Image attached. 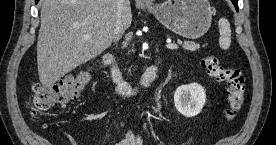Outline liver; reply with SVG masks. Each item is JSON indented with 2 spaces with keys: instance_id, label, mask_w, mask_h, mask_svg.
Listing matches in <instances>:
<instances>
[{
  "instance_id": "liver-1",
  "label": "liver",
  "mask_w": 276,
  "mask_h": 145,
  "mask_svg": "<svg viewBox=\"0 0 276 145\" xmlns=\"http://www.w3.org/2000/svg\"><path fill=\"white\" fill-rule=\"evenodd\" d=\"M40 4L38 75L41 84L50 87L111 45L118 6L117 0H42ZM121 21L123 34L132 22L130 3L123 7ZM86 34L89 39H84Z\"/></svg>"
}]
</instances>
